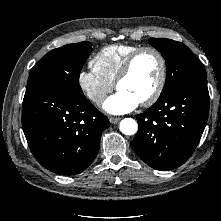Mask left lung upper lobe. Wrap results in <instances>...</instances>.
I'll use <instances>...</instances> for the list:
<instances>
[{"label": "left lung upper lobe", "instance_id": "1", "mask_svg": "<svg viewBox=\"0 0 221 221\" xmlns=\"http://www.w3.org/2000/svg\"><path fill=\"white\" fill-rule=\"evenodd\" d=\"M149 43L162 53L166 61L167 77L160 96L185 82L207 78L200 61L183 43L165 38H150Z\"/></svg>", "mask_w": 221, "mask_h": 221}]
</instances>
